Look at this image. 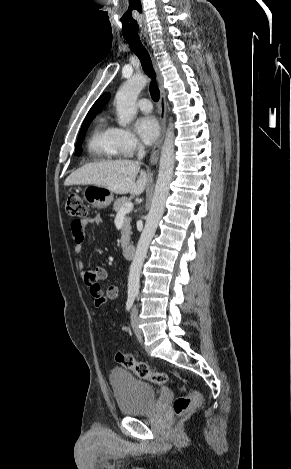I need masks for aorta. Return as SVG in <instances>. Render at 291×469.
<instances>
[{"label":"aorta","mask_w":291,"mask_h":469,"mask_svg":"<svg viewBox=\"0 0 291 469\" xmlns=\"http://www.w3.org/2000/svg\"><path fill=\"white\" fill-rule=\"evenodd\" d=\"M147 79L143 75H134L117 91L115 96L118 124L126 127L137 113L136 101L141 90L146 86ZM174 169V131L170 122L161 150L158 178L145 227L137 244L128 277V294H138L140 274L148 251L149 244L156 232L159 221L164 213L165 203L169 194V186Z\"/></svg>","instance_id":"obj_1"}]
</instances>
